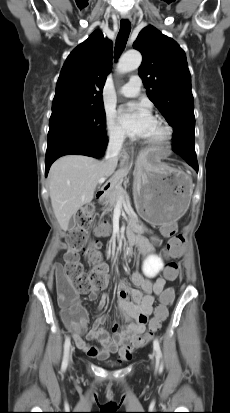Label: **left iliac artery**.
<instances>
[{"mask_svg":"<svg viewBox=\"0 0 230 413\" xmlns=\"http://www.w3.org/2000/svg\"><path fill=\"white\" fill-rule=\"evenodd\" d=\"M153 346H154V350L156 351V359L159 363V361L162 359V352H161V349H160V344H159L158 339H155L153 341ZM162 368H163V365H162V362H161L160 365H159V370L161 371Z\"/></svg>","mask_w":230,"mask_h":413,"instance_id":"obj_1","label":"left iliac artery"}]
</instances>
